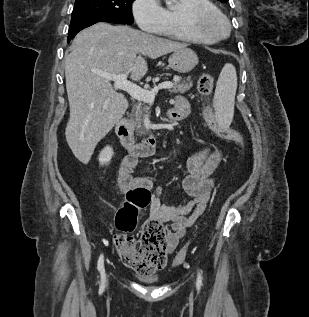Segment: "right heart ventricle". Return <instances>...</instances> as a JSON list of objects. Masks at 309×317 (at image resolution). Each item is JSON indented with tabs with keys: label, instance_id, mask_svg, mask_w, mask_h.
I'll return each instance as SVG.
<instances>
[{
	"label": "right heart ventricle",
	"instance_id": "1",
	"mask_svg": "<svg viewBox=\"0 0 309 317\" xmlns=\"http://www.w3.org/2000/svg\"><path fill=\"white\" fill-rule=\"evenodd\" d=\"M213 6L210 0H178L173 7L164 9L166 23L161 34L169 38L197 43H211L190 33L183 22L184 13L192 7Z\"/></svg>",
	"mask_w": 309,
	"mask_h": 317
}]
</instances>
